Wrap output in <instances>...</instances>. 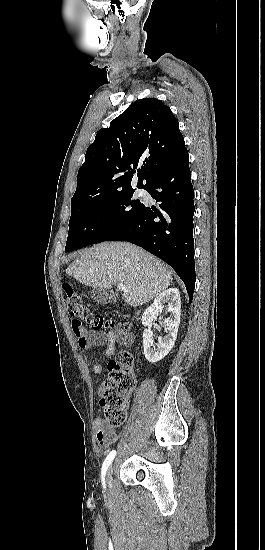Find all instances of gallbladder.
Returning <instances> with one entry per match:
<instances>
[{"instance_id": "bac80fb5", "label": "gallbladder", "mask_w": 265, "mask_h": 550, "mask_svg": "<svg viewBox=\"0 0 265 550\" xmlns=\"http://www.w3.org/2000/svg\"><path fill=\"white\" fill-rule=\"evenodd\" d=\"M90 296L97 304L116 302L118 296L107 289L93 288L89 291Z\"/></svg>"}]
</instances>
